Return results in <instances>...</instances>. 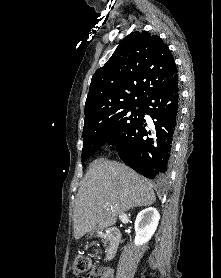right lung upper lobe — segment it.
<instances>
[{
    "mask_svg": "<svg viewBox=\"0 0 221 278\" xmlns=\"http://www.w3.org/2000/svg\"><path fill=\"white\" fill-rule=\"evenodd\" d=\"M175 74L174 58L160 37L146 31L130 33L94 73L85 103V121L143 103L153 89Z\"/></svg>",
    "mask_w": 221,
    "mask_h": 278,
    "instance_id": "1",
    "label": "right lung upper lobe"
}]
</instances>
